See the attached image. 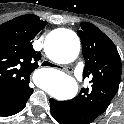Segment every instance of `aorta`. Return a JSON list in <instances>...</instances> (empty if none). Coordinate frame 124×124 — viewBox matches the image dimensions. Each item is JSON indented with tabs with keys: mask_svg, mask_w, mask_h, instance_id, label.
<instances>
[{
	"mask_svg": "<svg viewBox=\"0 0 124 124\" xmlns=\"http://www.w3.org/2000/svg\"><path fill=\"white\" fill-rule=\"evenodd\" d=\"M48 57L59 63L74 61L80 52L78 36L69 29H60L46 41ZM37 84L58 100H69L76 96L78 86L74 78L55 69L44 70Z\"/></svg>",
	"mask_w": 124,
	"mask_h": 124,
	"instance_id": "1",
	"label": "aorta"
}]
</instances>
